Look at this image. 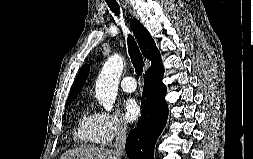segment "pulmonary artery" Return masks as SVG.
Masks as SVG:
<instances>
[{"mask_svg": "<svg viewBox=\"0 0 253 159\" xmlns=\"http://www.w3.org/2000/svg\"><path fill=\"white\" fill-rule=\"evenodd\" d=\"M120 87L124 92L132 93L136 90V83L132 76H125L120 82Z\"/></svg>", "mask_w": 253, "mask_h": 159, "instance_id": "1", "label": "pulmonary artery"}]
</instances>
